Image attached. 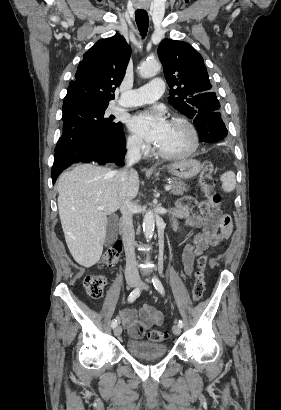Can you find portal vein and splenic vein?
Wrapping results in <instances>:
<instances>
[{"label": "portal vein and splenic vein", "instance_id": "obj_1", "mask_svg": "<svg viewBox=\"0 0 281 410\" xmlns=\"http://www.w3.org/2000/svg\"><path fill=\"white\" fill-rule=\"evenodd\" d=\"M171 189H172V186H171V185H166V186H165V190H166V191H169V190H171ZM104 209H105V207H103V206L97 208V210H104Z\"/></svg>", "mask_w": 281, "mask_h": 410}]
</instances>
